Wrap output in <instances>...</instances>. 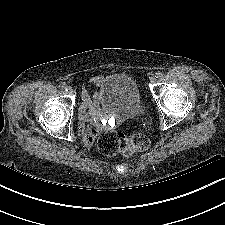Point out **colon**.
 Segmentation results:
<instances>
[{"mask_svg": "<svg viewBox=\"0 0 225 225\" xmlns=\"http://www.w3.org/2000/svg\"><path fill=\"white\" fill-rule=\"evenodd\" d=\"M149 139L141 133L126 136L120 132H105L97 140V149L106 156H132L149 148Z\"/></svg>", "mask_w": 225, "mask_h": 225, "instance_id": "colon-1", "label": "colon"}]
</instances>
